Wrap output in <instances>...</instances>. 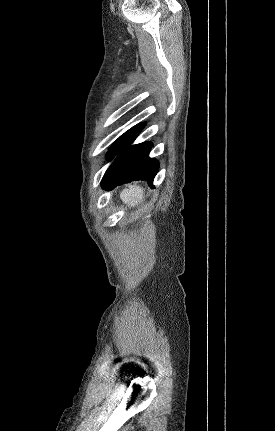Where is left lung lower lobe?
Wrapping results in <instances>:
<instances>
[{
  "label": "left lung lower lobe",
  "instance_id": "0a47b994",
  "mask_svg": "<svg viewBox=\"0 0 275 431\" xmlns=\"http://www.w3.org/2000/svg\"><path fill=\"white\" fill-rule=\"evenodd\" d=\"M151 147V142L125 147L106 170L101 182L102 187L111 190L134 180H146L153 186L159 163L156 159L149 158Z\"/></svg>",
  "mask_w": 275,
  "mask_h": 431
}]
</instances>
